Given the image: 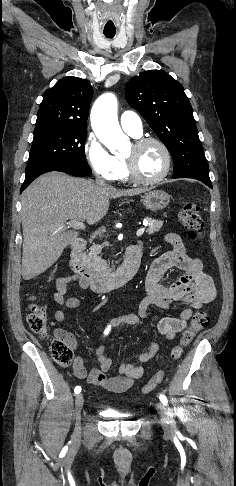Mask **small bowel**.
Listing matches in <instances>:
<instances>
[{"mask_svg":"<svg viewBox=\"0 0 236 486\" xmlns=\"http://www.w3.org/2000/svg\"><path fill=\"white\" fill-rule=\"evenodd\" d=\"M165 241L172 246V250L159 256L151 264L145 279L146 296L140 301L138 312L111 319L110 327H117L121 324L146 325L150 318V307L169 310L174 303L183 302L188 304L187 308L183 309L177 316L163 317L157 323L158 333L166 339L172 340L187 327L189 319L196 311L215 299L216 287L211 276L204 271L202 261L192 258L186 253L184 243L178 234H167ZM171 269L181 271V275L169 286L160 284L161 278ZM75 282L83 289L88 287L74 273L64 275L56 280L53 298L58 306L54 314L57 322L66 320V309H74L79 306L80 302L77 297L66 298L65 296L69 286ZM55 335L62 337L71 347H76V339L70 332L57 329ZM158 350L159 343L157 341L151 342L148 351L139 354V363L122 364L118 375L108 376L107 372L111 367V360L105 354L104 346L99 345L96 349L99 368H93L88 373L82 358L77 357L73 371L77 378L87 379L92 386L122 393L140 380L145 371L144 364L152 359Z\"/></svg>","mask_w":236,"mask_h":486,"instance_id":"c3829d8e","label":"small bowel"}]
</instances>
